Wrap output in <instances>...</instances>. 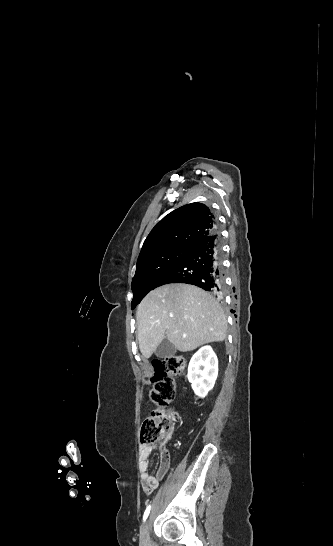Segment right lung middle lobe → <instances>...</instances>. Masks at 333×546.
Wrapping results in <instances>:
<instances>
[{
  "mask_svg": "<svg viewBox=\"0 0 333 546\" xmlns=\"http://www.w3.org/2000/svg\"><path fill=\"white\" fill-rule=\"evenodd\" d=\"M192 247H171L157 252L140 262H137L136 273L132 280V309L152 289L156 288L159 280L181 261Z\"/></svg>",
  "mask_w": 333,
  "mask_h": 546,
  "instance_id": "obj_1",
  "label": "right lung middle lobe"
}]
</instances>
